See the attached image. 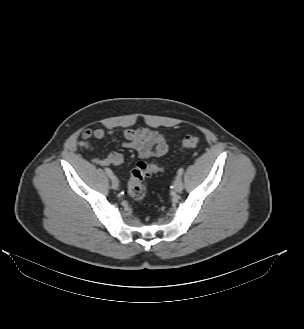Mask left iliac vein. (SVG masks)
<instances>
[{
  "instance_id": "left-iliac-vein-1",
  "label": "left iliac vein",
  "mask_w": 304,
  "mask_h": 329,
  "mask_svg": "<svg viewBox=\"0 0 304 329\" xmlns=\"http://www.w3.org/2000/svg\"><path fill=\"white\" fill-rule=\"evenodd\" d=\"M174 190L180 193L183 190V182L181 176H177L174 181Z\"/></svg>"
}]
</instances>
